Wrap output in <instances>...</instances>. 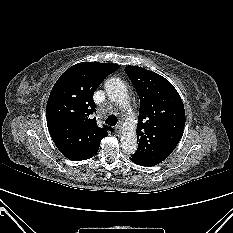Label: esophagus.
Instances as JSON below:
<instances>
[{"instance_id":"34e87169","label":"esophagus","mask_w":233,"mask_h":233,"mask_svg":"<svg viewBox=\"0 0 233 233\" xmlns=\"http://www.w3.org/2000/svg\"><path fill=\"white\" fill-rule=\"evenodd\" d=\"M115 132H116V134H120V133H121V124H118V125L115 127Z\"/></svg>"}]
</instances>
